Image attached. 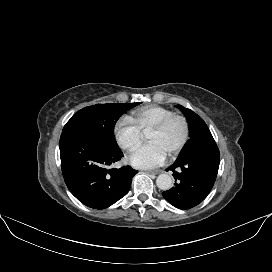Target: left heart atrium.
I'll list each match as a JSON object with an SVG mask.
<instances>
[{
    "label": "left heart atrium",
    "instance_id": "39dd6f15",
    "mask_svg": "<svg viewBox=\"0 0 272 272\" xmlns=\"http://www.w3.org/2000/svg\"><path fill=\"white\" fill-rule=\"evenodd\" d=\"M167 152L157 142H150L137 148L130 156V163L142 169L160 166L166 159Z\"/></svg>",
    "mask_w": 272,
    "mask_h": 272
}]
</instances>
